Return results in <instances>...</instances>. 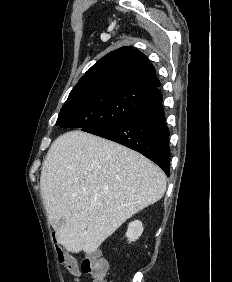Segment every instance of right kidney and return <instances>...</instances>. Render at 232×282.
Here are the masks:
<instances>
[{"instance_id": "ca27d5eb", "label": "right kidney", "mask_w": 232, "mask_h": 282, "mask_svg": "<svg viewBox=\"0 0 232 282\" xmlns=\"http://www.w3.org/2000/svg\"><path fill=\"white\" fill-rule=\"evenodd\" d=\"M143 232V225L141 221H133L129 224L126 237L128 238L129 242L137 240Z\"/></svg>"}]
</instances>
